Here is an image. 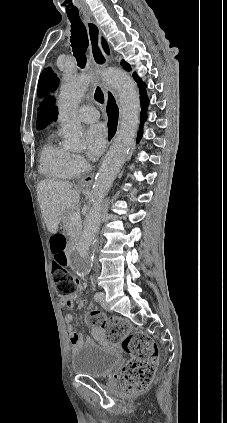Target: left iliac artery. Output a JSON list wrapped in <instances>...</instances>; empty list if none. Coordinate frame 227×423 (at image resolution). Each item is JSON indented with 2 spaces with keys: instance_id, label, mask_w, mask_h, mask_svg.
I'll return each instance as SVG.
<instances>
[{
  "instance_id": "obj_1",
  "label": "left iliac artery",
  "mask_w": 227,
  "mask_h": 423,
  "mask_svg": "<svg viewBox=\"0 0 227 423\" xmlns=\"http://www.w3.org/2000/svg\"><path fill=\"white\" fill-rule=\"evenodd\" d=\"M94 299L101 302V300H102L101 294L99 292L95 293Z\"/></svg>"
}]
</instances>
